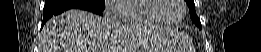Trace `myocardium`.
<instances>
[{"label": "myocardium", "instance_id": "myocardium-1", "mask_svg": "<svg viewBox=\"0 0 261 52\" xmlns=\"http://www.w3.org/2000/svg\"><path fill=\"white\" fill-rule=\"evenodd\" d=\"M177 3L182 8V16L176 21H170V20L165 19L164 16H163L164 12L170 6L169 2L167 0H156L154 9L156 10V12L161 17V19L163 20V22L165 24L176 25V24L181 23L183 21V19L185 18V15H186V12H187L185 1L184 0H178Z\"/></svg>", "mask_w": 261, "mask_h": 52}]
</instances>
